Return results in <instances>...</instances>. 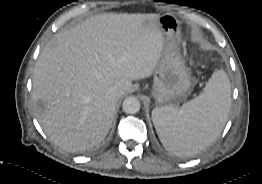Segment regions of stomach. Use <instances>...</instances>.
<instances>
[{
    "label": "stomach",
    "instance_id": "stomach-1",
    "mask_svg": "<svg viewBox=\"0 0 262 184\" xmlns=\"http://www.w3.org/2000/svg\"><path fill=\"white\" fill-rule=\"evenodd\" d=\"M158 22L165 36V49L154 71L152 93L157 104L165 105L184 100L194 83L178 48L180 21L166 14L159 16Z\"/></svg>",
    "mask_w": 262,
    "mask_h": 184
}]
</instances>
